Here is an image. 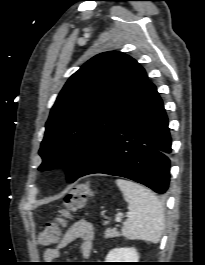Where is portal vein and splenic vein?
Returning a JSON list of instances; mask_svg holds the SVG:
<instances>
[{"instance_id": "1", "label": "portal vein and splenic vein", "mask_w": 205, "mask_h": 265, "mask_svg": "<svg viewBox=\"0 0 205 265\" xmlns=\"http://www.w3.org/2000/svg\"><path fill=\"white\" fill-rule=\"evenodd\" d=\"M128 215H131V213H128ZM116 222H121V218L120 217H116Z\"/></svg>"}]
</instances>
